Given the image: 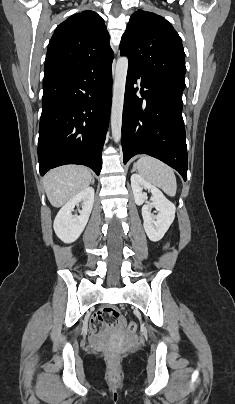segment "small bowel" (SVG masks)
<instances>
[{"label":"small bowel","instance_id":"1","mask_svg":"<svg viewBox=\"0 0 235 404\" xmlns=\"http://www.w3.org/2000/svg\"><path fill=\"white\" fill-rule=\"evenodd\" d=\"M104 314H105L104 308L100 309L98 312H96V313L93 315L92 321H94L95 319L102 320ZM89 332H90V334H94V333H95V327H94L93 324L90 325V327H89Z\"/></svg>","mask_w":235,"mask_h":404}]
</instances>
